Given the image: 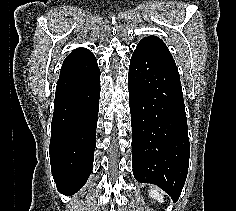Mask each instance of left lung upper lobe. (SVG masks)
Returning <instances> with one entry per match:
<instances>
[{
	"label": "left lung upper lobe",
	"instance_id": "5c2ea615",
	"mask_svg": "<svg viewBox=\"0 0 236 211\" xmlns=\"http://www.w3.org/2000/svg\"><path fill=\"white\" fill-rule=\"evenodd\" d=\"M137 47L150 49V50L172 57L167 46L164 44V42L156 36H149V37L143 38L138 43Z\"/></svg>",
	"mask_w": 236,
	"mask_h": 211
}]
</instances>
